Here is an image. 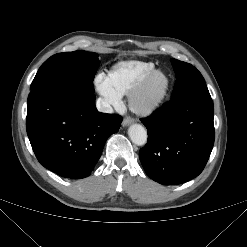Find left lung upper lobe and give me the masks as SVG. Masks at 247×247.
Returning <instances> with one entry per match:
<instances>
[{"instance_id": "1", "label": "left lung upper lobe", "mask_w": 247, "mask_h": 247, "mask_svg": "<svg viewBox=\"0 0 247 247\" xmlns=\"http://www.w3.org/2000/svg\"><path fill=\"white\" fill-rule=\"evenodd\" d=\"M171 63L176 74L171 99L209 92L204 78L194 66L176 59H171Z\"/></svg>"}]
</instances>
